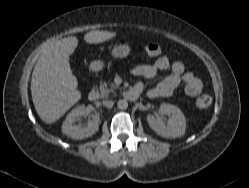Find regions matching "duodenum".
Listing matches in <instances>:
<instances>
[{
    "label": "duodenum",
    "mask_w": 249,
    "mask_h": 188,
    "mask_svg": "<svg viewBox=\"0 0 249 188\" xmlns=\"http://www.w3.org/2000/svg\"><path fill=\"white\" fill-rule=\"evenodd\" d=\"M139 94V90L133 87L126 91L125 96L129 100H135L139 96ZM88 98L92 102L97 101L99 98V92L97 90L90 91Z\"/></svg>",
    "instance_id": "obj_1"
}]
</instances>
